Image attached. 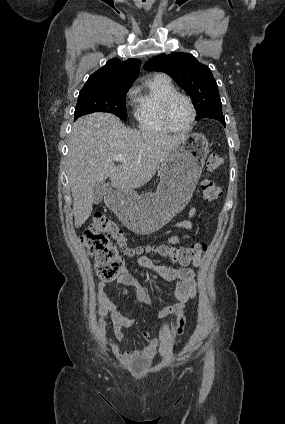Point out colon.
<instances>
[{
  "instance_id": "1",
  "label": "colon",
  "mask_w": 285,
  "mask_h": 424,
  "mask_svg": "<svg viewBox=\"0 0 285 424\" xmlns=\"http://www.w3.org/2000/svg\"><path fill=\"white\" fill-rule=\"evenodd\" d=\"M222 164V156L212 152L207 157L206 170L208 173L214 172ZM201 191L203 198L207 201L217 200L222 195L220 187L210 177L202 180ZM80 240L89 254L93 256L98 275L106 280L115 278L124 269L123 257L117 246L122 249L123 254L128 256L139 255L143 252L141 248L128 247L127 238L122 229L102 214L94 217L91 225L82 233ZM206 250L207 245L203 243L181 247L157 246L152 248V251L167 257L171 262L182 265L199 264Z\"/></svg>"
}]
</instances>
